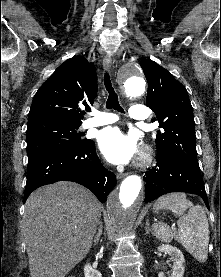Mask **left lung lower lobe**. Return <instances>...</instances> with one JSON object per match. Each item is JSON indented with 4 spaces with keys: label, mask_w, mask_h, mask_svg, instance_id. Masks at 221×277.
Wrapping results in <instances>:
<instances>
[{
    "label": "left lung lower lobe",
    "mask_w": 221,
    "mask_h": 277,
    "mask_svg": "<svg viewBox=\"0 0 221 277\" xmlns=\"http://www.w3.org/2000/svg\"><path fill=\"white\" fill-rule=\"evenodd\" d=\"M144 180L145 203L166 193L187 192L199 195L209 208L200 168L181 158L158 157L156 167L145 173Z\"/></svg>",
    "instance_id": "obj_1"
}]
</instances>
